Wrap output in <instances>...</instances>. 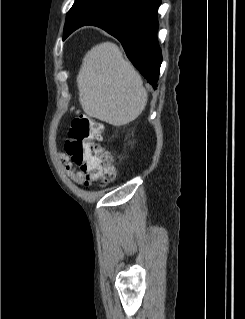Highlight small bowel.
<instances>
[{
	"instance_id": "small-bowel-1",
	"label": "small bowel",
	"mask_w": 245,
	"mask_h": 319,
	"mask_svg": "<svg viewBox=\"0 0 245 319\" xmlns=\"http://www.w3.org/2000/svg\"><path fill=\"white\" fill-rule=\"evenodd\" d=\"M59 160L62 164L64 172L68 176H70L76 182L80 183L83 181V179H84L83 174L72 166V164L69 162V159L67 156H65L64 154H60Z\"/></svg>"
}]
</instances>
